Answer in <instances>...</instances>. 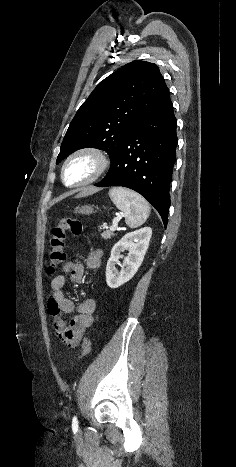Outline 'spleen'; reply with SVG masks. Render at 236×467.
<instances>
[{
    "label": "spleen",
    "mask_w": 236,
    "mask_h": 467,
    "mask_svg": "<svg viewBox=\"0 0 236 467\" xmlns=\"http://www.w3.org/2000/svg\"><path fill=\"white\" fill-rule=\"evenodd\" d=\"M109 196L116 207L124 212L125 222L130 228L142 225L150 214L148 202L138 193L116 187L109 190Z\"/></svg>",
    "instance_id": "spleen-1"
}]
</instances>
